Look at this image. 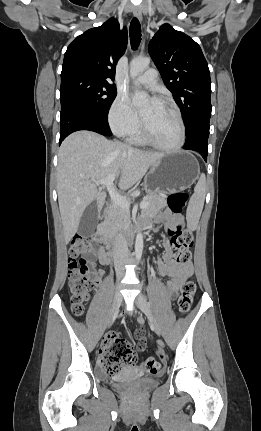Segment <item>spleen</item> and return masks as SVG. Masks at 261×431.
<instances>
[{
  "mask_svg": "<svg viewBox=\"0 0 261 431\" xmlns=\"http://www.w3.org/2000/svg\"><path fill=\"white\" fill-rule=\"evenodd\" d=\"M206 194V177L201 174L198 183L194 188V193L190 198L188 209L194 215L199 217L201 215Z\"/></svg>",
  "mask_w": 261,
  "mask_h": 431,
  "instance_id": "spleen-1",
  "label": "spleen"
}]
</instances>
